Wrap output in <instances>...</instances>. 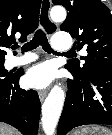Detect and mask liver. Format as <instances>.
Returning a JSON list of instances; mask_svg holds the SVG:
<instances>
[{
    "label": "liver",
    "mask_w": 112,
    "mask_h": 135,
    "mask_svg": "<svg viewBox=\"0 0 112 135\" xmlns=\"http://www.w3.org/2000/svg\"><path fill=\"white\" fill-rule=\"evenodd\" d=\"M0 135H20L13 127L0 122Z\"/></svg>",
    "instance_id": "obj_1"
}]
</instances>
